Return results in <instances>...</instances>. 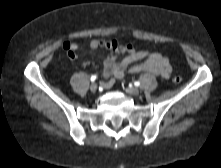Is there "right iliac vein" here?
I'll return each instance as SVG.
<instances>
[{"label":"right iliac vein","mask_w":221,"mask_h":168,"mask_svg":"<svg viewBox=\"0 0 221 168\" xmlns=\"http://www.w3.org/2000/svg\"><path fill=\"white\" fill-rule=\"evenodd\" d=\"M90 90L91 92H96L97 91V84L96 83H92L91 86H90Z\"/></svg>","instance_id":"1"}]
</instances>
